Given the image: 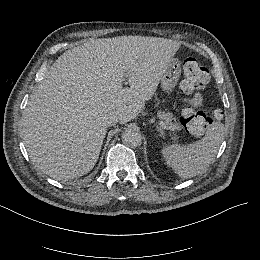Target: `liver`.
<instances>
[{"label": "liver", "mask_w": 260, "mask_h": 260, "mask_svg": "<svg viewBox=\"0 0 260 260\" xmlns=\"http://www.w3.org/2000/svg\"><path fill=\"white\" fill-rule=\"evenodd\" d=\"M180 44L160 37L90 39L67 50L30 95L21 134L32 163L67 181L95 166L110 113L125 124L145 108ZM128 78L130 87H123Z\"/></svg>", "instance_id": "obj_1"}]
</instances>
